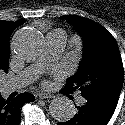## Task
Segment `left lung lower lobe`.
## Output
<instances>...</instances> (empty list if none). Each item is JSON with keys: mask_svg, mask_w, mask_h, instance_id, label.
I'll return each mask as SVG.
<instances>
[{"mask_svg": "<svg viewBox=\"0 0 125 125\" xmlns=\"http://www.w3.org/2000/svg\"><path fill=\"white\" fill-rule=\"evenodd\" d=\"M61 93H64L62 90ZM117 99L85 100L84 104L77 107L78 112L66 122L57 125H106L111 119L117 106Z\"/></svg>", "mask_w": 125, "mask_h": 125, "instance_id": "0a47b994", "label": "left lung lower lobe"}]
</instances>
